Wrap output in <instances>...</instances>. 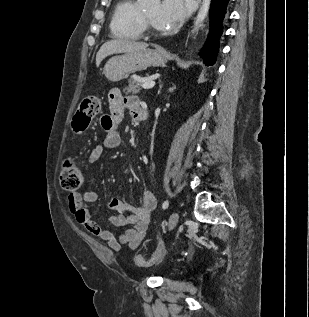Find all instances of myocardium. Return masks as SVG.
<instances>
[{
  "instance_id": "1",
  "label": "myocardium",
  "mask_w": 309,
  "mask_h": 317,
  "mask_svg": "<svg viewBox=\"0 0 309 317\" xmlns=\"http://www.w3.org/2000/svg\"><path fill=\"white\" fill-rule=\"evenodd\" d=\"M141 19H142L144 29L147 32H149L150 34H153V35L159 34V31L152 25V23L149 21V19L147 18V16L145 15L144 12H142V14H141Z\"/></svg>"
}]
</instances>
